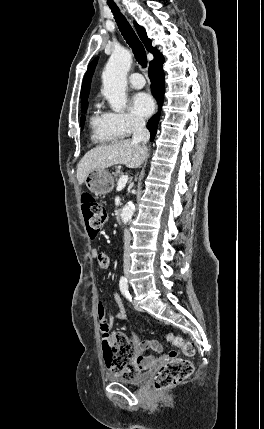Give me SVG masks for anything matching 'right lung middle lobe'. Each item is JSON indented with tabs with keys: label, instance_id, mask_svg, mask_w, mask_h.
<instances>
[{
	"label": "right lung middle lobe",
	"instance_id": "right-lung-middle-lobe-1",
	"mask_svg": "<svg viewBox=\"0 0 264 429\" xmlns=\"http://www.w3.org/2000/svg\"><path fill=\"white\" fill-rule=\"evenodd\" d=\"M87 106H88V104L81 106V111H82L83 113H85V112H86ZM84 120H85V117H84V116H81V121H80V122H81V127H82V128H83V126H84Z\"/></svg>",
	"mask_w": 264,
	"mask_h": 429
}]
</instances>
